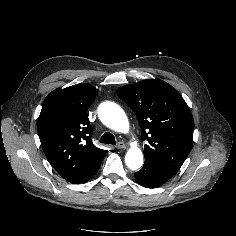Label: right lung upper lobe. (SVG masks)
I'll use <instances>...</instances> for the list:
<instances>
[{"instance_id":"cb5924a9","label":"right lung upper lobe","mask_w":236,"mask_h":236,"mask_svg":"<svg viewBox=\"0 0 236 236\" xmlns=\"http://www.w3.org/2000/svg\"><path fill=\"white\" fill-rule=\"evenodd\" d=\"M97 89L81 83L55 89L43 102L38 135L51 166L67 181L78 183L97 169L107 150L97 148L87 110Z\"/></svg>"}]
</instances>
